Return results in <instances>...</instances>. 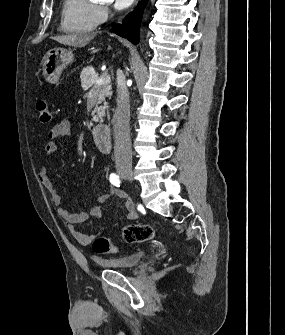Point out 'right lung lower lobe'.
<instances>
[{
    "label": "right lung lower lobe",
    "instance_id": "1",
    "mask_svg": "<svg viewBox=\"0 0 285 335\" xmlns=\"http://www.w3.org/2000/svg\"><path fill=\"white\" fill-rule=\"evenodd\" d=\"M147 2L148 0H142L140 6L124 19L122 25L118 24L114 27V33L121 37L127 38L134 44H138L140 22Z\"/></svg>",
    "mask_w": 285,
    "mask_h": 335
}]
</instances>
